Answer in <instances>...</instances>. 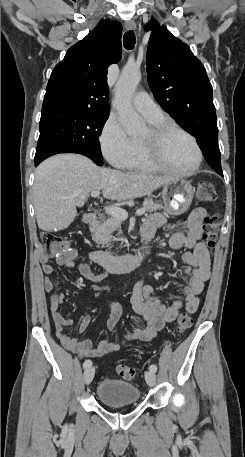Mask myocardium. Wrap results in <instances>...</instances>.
<instances>
[{
    "label": "myocardium",
    "mask_w": 245,
    "mask_h": 457,
    "mask_svg": "<svg viewBox=\"0 0 245 457\" xmlns=\"http://www.w3.org/2000/svg\"><path fill=\"white\" fill-rule=\"evenodd\" d=\"M150 129H151L152 133L154 134L158 144L163 143L164 140L166 139V137L172 132L182 133L191 141V143H192L191 146L196 155L195 164L191 169H189V170L172 169V168L162 165L161 163H159V162L155 161L153 158H151V156L148 153L146 144L143 141L138 140L140 157L150 168L157 170V171H162V172L182 175V176L191 175L197 171V169L199 168V166L202 162V152L199 148L196 138L191 133H189L187 130H185L181 126H179L173 122H170V121H162L159 123H155L152 125V127Z\"/></svg>",
    "instance_id": "1"
}]
</instances>
